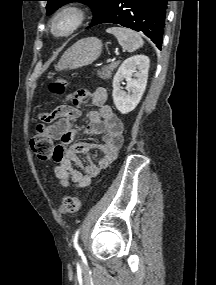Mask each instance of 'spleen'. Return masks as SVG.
Masks as SVG:
<instances>
[{
	"label": "spleen",
	"mask_w": 216,
	"mask_h": 285,
	"mask_svg": "<svg viewBox=\"0 0 216 285\" xmlns=\"http://www.w3.org/2000/svg\"><path fill=\"white\" fill-rule=\"evenodd\" d=\"M107 33L113 34L124 50L134 52L143 46L142 37L135 31L123 27L108 28Z\"/></svg>",
	"instance_id": "1"
}]
</instances>
